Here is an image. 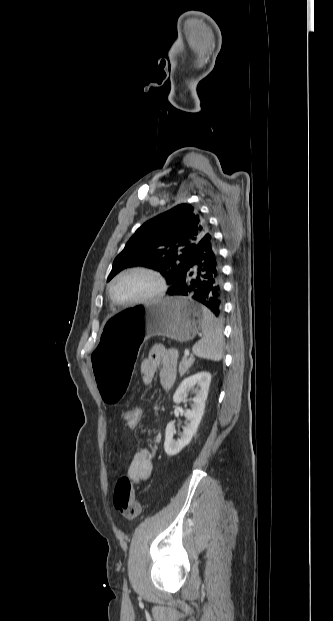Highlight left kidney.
Masks as SVG:
<instances>
[{"label": "left kidney", "mask_w": 333, "mask_h": 621, "mask_svg": "<svg viewBox=\"0 0 333 621\" xmlns=\"http://www.w3.org/2000/svg\"><path fill=\"white\" fill-rule=\"evenodd\" d=\"M210 382L211 374L208 372H200L185 378L175 391L173 396V401L175 403L184 402L185 392L190 388H193L195 397L192 399L193 403L191 405V409L186 410L184 414L186 422L180 439H173L174 422L171 421L167 424L164 450L168 456L178 454L186 445L190 443L193 435L196 433L204 414L205 402L207 400Z\"/></svg>", "instance_id": "5707ae66"}]
</instances>
